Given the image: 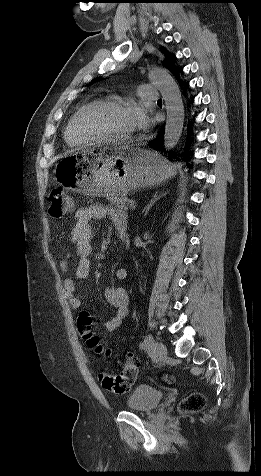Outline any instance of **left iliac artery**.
<instances>
[{
    "mask_svg": "<svg viewBox=\"0 0 261 476\" xmlns=\"http://www.w3.org/2000/svg\"><path fill=\"white\" fill-rule=\"evenodd\" d=\"M153 342H154L153 336L151 334H149V335L146 336L143 343L141 344V348L142 349H147L152 345Z\"/></svg>",
    "mask_w": 261,
    "mask_h": 476,
    "instance_id": "left-iliac-artery-1",
    "label": "left iliac artery"
}]
</instances>
